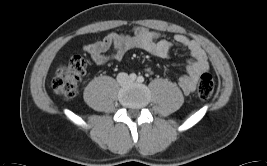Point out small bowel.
<instances>
[{
    "instance_id": "1",
    "label": "small bowel",
    "mask_w": 267,
    "mask_h": 166,
    "mask_svg": "<svg viewBox=\"0 0 267 166\" xmlns=\"http://www.w3.org/2000/svg\"><path fill=\"white\" fill-rule=\"evenodd\" d=\"M174 40L187 47L190 52L187 74L178 79L179 87L188 94L195 90L199 76L208 70L209 63L204 50L195 40L184 34H176ZM135 48L159 58H169L172 43L160 39L159 34L153 30L136 27L133 35L111 33L100 41L84 45L83 50L96 65L102 66L110 61H120L129 50ZM110 49L111 53L107 54ZM148 71L150 72V70Z\"/></svg>"
}]
</instances>
